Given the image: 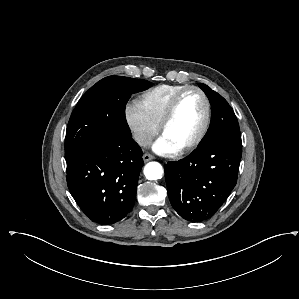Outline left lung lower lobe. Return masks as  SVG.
<instances>
[{
	"instance_id": "1",
	"label": "left lung lower lobe",
	"mask_w": 299,
	"mask_h": 299,
	"mask_svg": "<svg viewBox=\"0 0 299 299\" xmlns=\"http://www.w3.org/2000/svg\"><path fill=\"white\" fill-rule=\"evenodd\" d=\"M241 155V143L216 140L165 165L167 191L177 213L191 222L209 219L235 187Z\"/></svg>"
}]
</instances>
